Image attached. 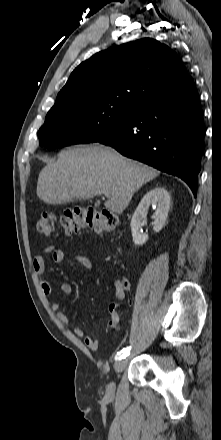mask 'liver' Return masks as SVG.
Wrapping results in <instances>:
<instances>
[{
    "label": "liver",
    "mask_w": 221,
    "mask_h": 440,
    "mask_svg": "<svg viewBox=\"0 0 221 440\" xmlns=\"http://www.w3.org/2000/svg\"><path fill=\"white\" fill-rule=\"evenodd\" d=\"M159 175L156 169L127 159L103 145L77 146L59 153L40 172L37 196L47 204L90 199L106 191L105 207L121 214L133 194Z\"/></svg>",
    "instance_id": "obj_1"
}]
</instances>
